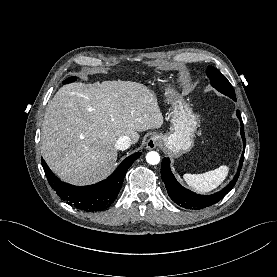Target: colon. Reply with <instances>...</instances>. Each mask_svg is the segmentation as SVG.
Here are the masks:
<instances>
[{
	"mask_svg": "<svg viewBox=\"0 0 277 277\" xmlns=\"http://www.w3.org/2000/svg\"><path fill=\"white\" fill-rule=\"evenodd\" d=\"M75 81V79L73 77H69L64 81V84H71Z\"/></svg>",
	"mask_w": 277,
	"mask_h": 277,
	"instance_id": "obj_1",
	"label": "colon"
}]
</instances>
